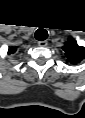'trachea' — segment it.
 Returning <instances> with one entry per match:
<instances>
[{"label":"trachea","instance_id":"obj_1","mask_svg":"<svg viewBox=\"0 0 85 118\" xmlns=\"http://www.w3.org/2000/svg\"><path fill=\"white\" fill-rule=\"evenodd\" d=\"M47 38V33L44 30H38L36 32V39L39 41H43Z\"/></svg>","mask_w":85,"mask_h":118}]
</instances>
